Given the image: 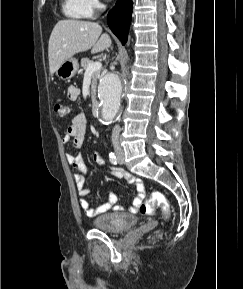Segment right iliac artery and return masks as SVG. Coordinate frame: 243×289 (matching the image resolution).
Listing matches in <instances>:
<instances>
[{"label":"right iliac artery","mask_w":243,"mask_h":289,"mask_svg":"<svg viewBox=\"0 0 243 289\" xmlns=\"http://www.w3.org/2000/svg\"><path fill=\"white\" fill-rule=\"evenodd\" d=\"M109 160L114 165L117 164V162H118V158L116 157V155L114 153L109 154Z\"/></svg>","instance_id":"1"}]
</instances>
